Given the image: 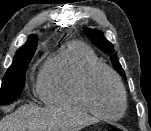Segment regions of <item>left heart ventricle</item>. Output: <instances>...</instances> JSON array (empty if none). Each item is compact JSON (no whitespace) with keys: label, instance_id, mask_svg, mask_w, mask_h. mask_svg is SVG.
Wrapping results in <instances>:
<instances>
[{"label":"left heart ventricle","instance_id":"1","mask_svg":"<svg viewBox=\"0 0 151 131\" xmlns=\"http://www.w3.org/2000/svg\"><path fill=\"white\" fill-rule=\"evenodd\" d=\"M96 107L106 115H116L121 109V96L114 80L105 72L97 74L91 84Z\"/></svg>","mask_w":151,"mask_h":131}]
</instances>
